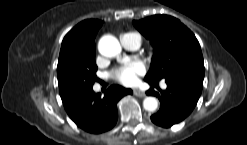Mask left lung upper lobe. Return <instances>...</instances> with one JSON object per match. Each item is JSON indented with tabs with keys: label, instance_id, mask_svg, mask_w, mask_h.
<instances>
[{
	"label": "left lung upper lobe",
	"instance_id": "left-lung-upper-lobe-1",
	"mask_svg": "<svg viewBox=\"0 0 247 145\" xmlns=\"http://www.w3.org/2000/svg\"><path fill=\"white\" fill-rule=\"evenodd\" d=\"M133 24L151 41L155 51L145 81L158 82L175 75L203 81L204 62L199 42L177 18L154 15Z\"/></svg>",
	"mask_w": 247,
	"mask_h": 145
}]
</instances>
